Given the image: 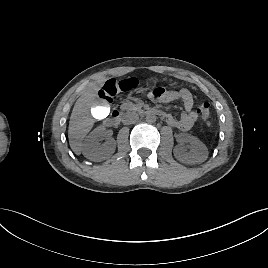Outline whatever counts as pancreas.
<instances>
[{
    "label": "pancreas",
    "mask_w": 268,
    "mask_h": 268,
    "mask_svg": "<svg viewBox=\"0 0 268 268\" xmlns=\"http://www.w3.org/2000/svg\"><path fill=\"white\" fill-rule=\"evenodd\" d=\"M141 106H143V103L134 104L131 101H124V102H122L120 108L122 110H134V109L141 107Z\"/></svg>",
    "instance_id": "1"
}]
</instances>
